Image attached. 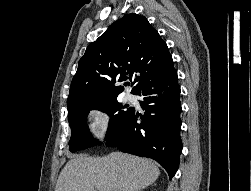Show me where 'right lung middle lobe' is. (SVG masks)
I'll return each mask as SVG.
<instances>
[{
    "label": "right lung middle lobe",
    "instance_id": "dd1d6c3e",
    "mask_svg": "<svg viewBox=\"0 0 251 191\" xmlns=\"http://www.w3.org/2000/svg\"><path fill=\"white\" fill-rule=\"evenodd\" d=\"M128 105H122L117 99L96 103L75 106L68 108V120L71 128V138L69 141V150L76 152L81 149H86L99 145L100 142L94 139L89 131L87 125V115L90 110L97 109L105 112L110 116L109 127L106 138L114 133L119 127H121L129 118L133 111L130 107L127 110Z\"/></svg>",
    "mask_w": 251,
    "mask_h": 191
}]
</instances>
